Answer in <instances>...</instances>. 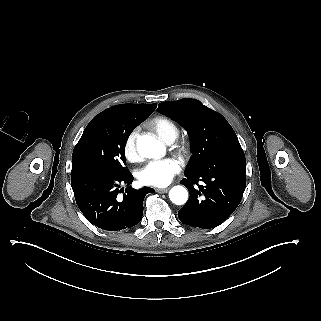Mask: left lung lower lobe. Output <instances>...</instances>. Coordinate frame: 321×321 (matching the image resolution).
Wrapping results in <instances>:
<instances>
[{
	"mask_svg": "<svg viewBox=\"0 0 321 321\" xmlns=\"http://www.w3.org/2000/svg\"><path fill=\"white\" fill-rule=\"evenodd\" d=\"M181 184L190 193L178 212L188 226L210 229L222 224L238 207L246 187V159L241 149L219 153L196 171L186 172ZM200 183V184H199Z\"/></svg>",
	"mask_w": 321,
	"mask_h": 321,
	"instance_id": "1",
	"label": "left lung lower lobe"
}]
</instances>
